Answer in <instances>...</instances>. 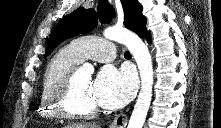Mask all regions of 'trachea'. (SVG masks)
<instances>
[{"label":"trachea","instance_id":"1","mask_svg":"<svg viewBox=\"0 0 221 128\" xmlns=\"http://www.w3.org/2000/svg\"><path fill=\"white\" fill-rule=\"evenodd\" d=\"M124 56H125V57H128V56H131V55H130V53H129L128 51H126V52L124 53Z\"/></svg>","mask_w":221,"mask_h":128}]
</instances>
